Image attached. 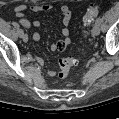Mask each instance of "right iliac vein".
<instances>
[{
    "label": "right iliac vein",
    "instance_id": "1",
    "mask_svg": "<svg viewBox=\"0 0 119 119\" xmlns=\"http://www.w3.org/2000/svg\"><path fill=\"white\" fill-rule=\"evenodd\" d=\"M21 38L24 42L28 41V35L26 33H24Z\"/></svg>",
    "mask_w": 119,
    "mask_h": 119
}]
</instances>
